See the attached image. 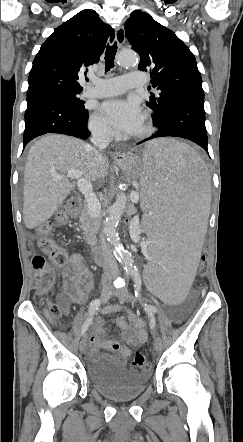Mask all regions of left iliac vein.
<instances>
[{
    "instance_id": "1",
    "label": "left iliac vein",
    "mask_w": 243,
    "mask_h": 442,
    "mask_svg": "<svg viewBox=\"0 0 243 442\" xmlns=\"http://www.w3.org/2000/svg\"><path fill=\"white\" fill-rule=\"evenodd\" d=\"M114 294L122 301V302H129L134 303V299L132 295L125 289H117ZM154 349L157 353H159L162 349V342L160 337H156L154 340Z\"/></svg>"
}]
</instances>
